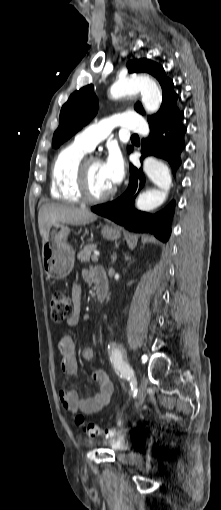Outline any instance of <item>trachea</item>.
I'll use <instances>...</instances> for the list:
<instances>
[{
  "label": "trachea",
  "instance_id": "3493384b",
  "mask_svg": "<svg viewBox=\"0 0 221 510\" xmlns=\"http://www.w3.org/2000/svg\"><path fill=\"white\" fill-rule=\"evenodd\" d=\"M132 137H138V135L134 134Z\"/></svg>",
  "mask_w": 221,
  "mask_h": 510
}]
</instances>
